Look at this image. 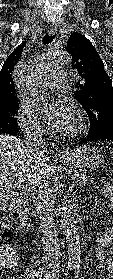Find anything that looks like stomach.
<instances>
[{
  "instance_id": "0dacf381",
  "label": "stomach",
  "mask_w": 113,
  "mask_h": 279,
  "mask_svg": "<svg viewBox=\"0 0 113 279\" xmlns=\"http://www.w3.org/2000/svg\"><path fill=\"white\" fill-rule=\"evenodd\" d=\"M60 160L77 171H88L101 165L103 155L96 145L86 144L60 156Z\"/></svg>"
}]
</instances>
